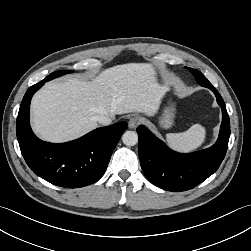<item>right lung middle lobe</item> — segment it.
<instances>
[{"label": "right lung middle lobe", "instance_id": "dd1d6c3e", "mask_svg": "<svg viewBox=\"0 0 251 251\" xmlns=\"http://www.w3.org/2000/svg\"><path fill=\"white\" fill-rule=\"evenodd\" d=\"M71 72H73V71H71V70L56 71V72H53V73H51L50 75H48V76L45 78V80H46V81H49V80H51V79H54V78H56V77H59V76H61V75L68 74V73H71Z\"/></svg>", "mask_w": 251, "mask_h": 251}]
</instances>
